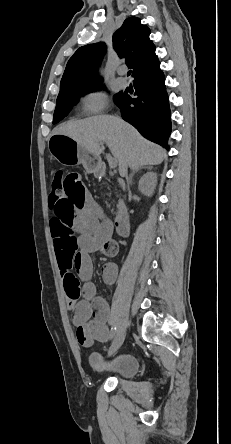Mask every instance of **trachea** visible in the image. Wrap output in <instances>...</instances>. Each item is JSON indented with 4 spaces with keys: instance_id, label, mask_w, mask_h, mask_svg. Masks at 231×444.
I'll return each instance as SVG.
<instances>
[{
    "instance_id": "1",
    "label": "trachea",
    "mask_w": 231,
    "mask_h": 444,
    "mask_svg": "<svg viewBox=\"0 0 231 444\" xmlns=\"http://www.w3.org/2000/svg\"><path fill=\"white\" fill-rule=\"evenodd\" d=\"M131 75V70H129L128 72H127V76H130Z\"/></svg>"
}]
</instances>
